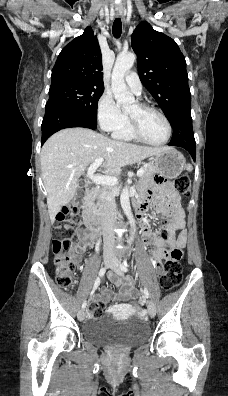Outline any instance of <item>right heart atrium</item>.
<instances>
[{
    "label": "right heart atrium",
    "instance_id": "d8ad5b80",
    "mask_svg": "<svg viewBox=\"0 0 228 396\" xmlns=\"http://www.w3.org/2000/svg\"><path fill=\"white\" fill-rule=\"evenodd\" d=\"M97 121L106 132H115L129 123L127 116L119 110L108 92H104L98 101Z\"/></svg>",
    "mask_w": 228,
    "mask_h": 396
}]
</instances>
